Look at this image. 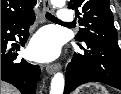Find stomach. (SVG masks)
<instances>
[{
    "label": "stomach",
    "instance_id": "1",
    "mask_svg": "<svg viewBox=\"0 0 121 94\" xmlns=\"http://www.w3.org/2000/svg\"><path fill=\"white\" fill-rule=\"evenodd\" d=\"M74 94H109L105 87L96 83H89L83 86L82 90Z\"/></svg>",
    "mask_w": 121,
    "mask_h": 94
}]
</instances>
